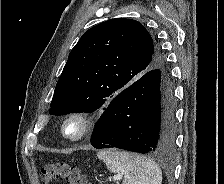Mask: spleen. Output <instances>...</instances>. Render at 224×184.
<instances>
[{
    "instance_id": "1",
    "label": "spleen",
    "mask_w": 224,
    "mask_h": 184,
    "mask_svg": "<svg viewBox=\"0 0 224 184\" xmlns=\"http://www.w3.org/2000/svg\"><path fill=\"white\" fill-rule=\"evenodd\" d=\"M112 173L124 175L123 184H161L162 171L151 159L144 156L117 151L103 150L97 153Z\"/></svg>"
}]
</instances>
